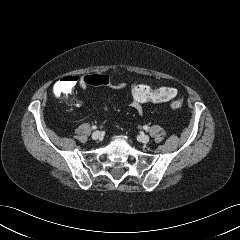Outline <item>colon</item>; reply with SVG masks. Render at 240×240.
<instances>
[{
  "mask_svg": "<svg viewBox=\"0 0 240 240\" xmlns=\"http://www.w3.org/2000/svg\"><path fill=\"white\" fill-rule=\"evenodd\" d=\"M82 82L91 86H109L122 89L126 86L108 75L91 74L82 79ZM76 79L74 77L63 78L58 81L54 87L57 95H67L74 87ZM132 99L140 104L146 103H169L173 110L183 106L184 99L177 93V90L171 86L151 87L147 84L133 83L130 87Z\"/></svg>",
  "mask_w": 240,
  "mask_h": 240,
  "instance_id": "1",
  "label": "colon"
}]
</instances>
